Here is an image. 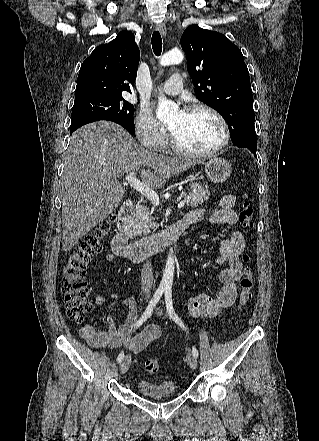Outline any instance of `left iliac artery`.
Listing matches in <instances>:
<instances>
[{
  "instance_id": "left-iliac-artery-1",
  "label": "left iliac artery",
  "mask_w": 319,
  "mask_h": 441,
  "mask_svg": "<svg viewBox=\"0 0 319 441\" xmlns=\"http://www.w3.org/2000/svg\"><path fill=\"white\" fill-rule=\"evenodd\" d=\"M165 304H166V309H167V313L169 315V317L175 321V323H177L182 329L186 330V326L185 324L182 322V320L178 317V315L176 314L174 308H173V304H172V293L171 290H166L165 291ZM192 353L195 357H198V350L196 349V347L192 348Z\"/></svg>"
}]
</instances>
